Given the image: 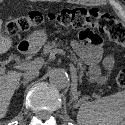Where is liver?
<instances>
[{
	"label": "liver",
	"instance_id": "liver-1",
	"mask_svg": "<svg viewBox=\"0 0 125 125\" xmlns=\"http://www.w3.org/2000/svg\"><path fill=\"white\" fill-rule=\"evenodd\" d=\"M2 24L3 21L0 19V55L6 53L13 46L12 39L2 34ZM21 76L22 73L16 71L0 73V118L6 116Z\"/></svg>",
	"mask_w": 125,
	"mask_h": 125
}]
</instances>
